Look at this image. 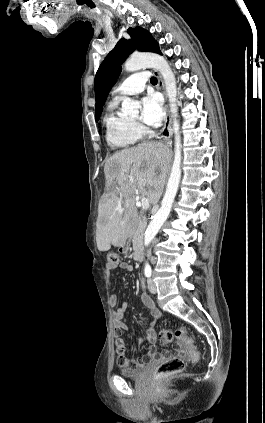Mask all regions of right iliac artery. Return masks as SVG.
Returning <instances> with one entry per match:
<instances>
[{
	"mask_svg": "<svg viewBox=\"0 0 265 423\" xmlns=\"http://www.w3.org/2000/svg\"><path fill=\"white\" fill-rule=\"evenodd\" d=\"M142 285H143V287H145V286H144V281H142Z\"/></svg>",
	"mask_w": 265,
	"mask_h": 423,
	"instance_id": "obj_1",
	"label": "right iliac artery"
}]
</instances>
